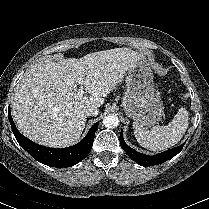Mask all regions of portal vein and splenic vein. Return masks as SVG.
Returning a JSON list of instances; mask_svg holds the SVG:
<instances>
[{
    "instance_id": "1",
    "label": "portal vein and splenic vein",
    "mask_w": 209,
    "mask_h": 209,
    "mask_svg": "<svg viewBox=\"0 0 209 209\" xmlns=\"http://www.w3.org/2000/svg\"><path fill=\"white\" fill-rule=\"evenodd\" d=\"M78 84L80 85V87L77 90V95L83 96V94H84V88H83L84 80L82 77L78 78Z\"/></svg>"
}]
</instances>
